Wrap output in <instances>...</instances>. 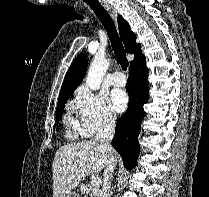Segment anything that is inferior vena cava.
<instances>
[{"label": "inferior vena cava", "instance_id": "1", "mask_svg": "<svg viewBox=\"0 0 209 197\" xmlns=\"http://www.w3.org/2000/svg\"><path fill=\"white\" fill-rule=\"evenodd\" d=\"M115 125L116 118L111 114H107L101 128H99L96 134V140L104 144L108 154V159L103 172V185L100 197H111V180L116 165V159L114 157V150L109 142L114 137Z\"/></svg>", "mask_w": 209, "mask_h": 197}]
</instances>
